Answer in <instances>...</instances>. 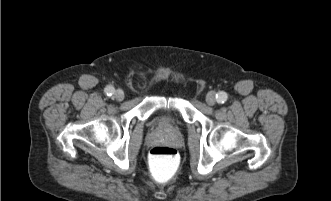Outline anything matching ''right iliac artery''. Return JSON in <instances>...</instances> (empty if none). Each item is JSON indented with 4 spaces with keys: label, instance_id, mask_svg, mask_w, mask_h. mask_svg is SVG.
I'll return each instance as SVG.
<instances>
[{
    "label": "right iliac artery",
    "instance_id": "right-iliac-artery-1",
    "mask_svg": "<svg viewBox=\"0 0 331 201\" xmlns=\"http://www.w3.org/2000/svg\"><path fill=\"white\" fill-rule=\"evenodd\" d=\"M104 91H105L107 96H112L114 94L115 90H114V87L107 86Z\"/></svg>",
    "mask_w": 331,
    "mask_h": 201
}]
</instances>
